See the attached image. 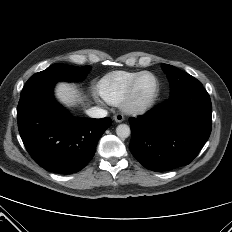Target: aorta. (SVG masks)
<instances>
[{
	"mask_svg": "<svg viewBox=\"0 0 232 232\" xmlns=\"http://www.w3.org/2000/svg\"><path fill=\"white\" fill-rule=\"evenodd\" d=\"M116 134L119 138H127L131 134L130 127L127 124H120L116 128Z\"/></svg>",
	"mask_w": 232,
	"mask_h": 232,
	"instance_id": "obj_1",
	"label": "aorta"
}]
</instances>
